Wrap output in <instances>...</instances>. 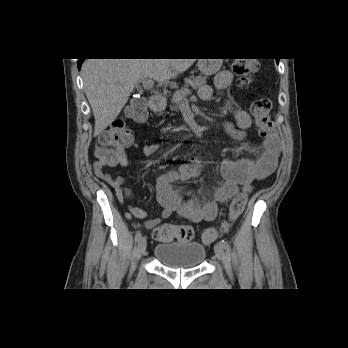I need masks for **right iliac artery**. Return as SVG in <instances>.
Listing matches in <instances>:
<instances>
[{"instance_id":"obj_1","label":"right iliac artery","mask_w":348,"mask_h":348,"mask_svg":"<svg viewBox=\"0 0 348 348\" xmlns=\"http://www.w3.org/2000/svg\"><path fill=\"white\" fill-rule=\"evenodd\" d=\"M141 236H142L141 232H140V231H137V233H136V235H135V241L138 242V241L140 240Z\"/></svg>"}]
</instances>
